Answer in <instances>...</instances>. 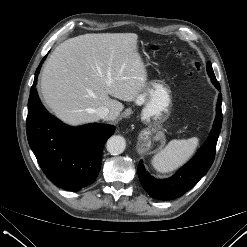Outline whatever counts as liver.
Here are the masks:
<instances>
[{"label":"liver","mask_w":247,"mask_h":247,"mask_svg":"<svg viewBox=\"0 0 247 247\" xmlns=\"http://www.w3.org/2000/svg\"><path fill=\"white\" fill-rule=\"evenodd\" d=\"M137 42L135 33H91L61 43L41 76L47 107L72 126L98 121L100 106L109 109L108 120H115L124 108L116 99L135 101L146 86Z\"/></svg>","instance_id":"obj_1"}]
</instances>
